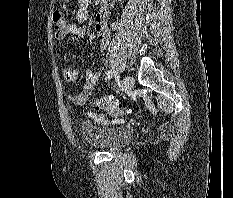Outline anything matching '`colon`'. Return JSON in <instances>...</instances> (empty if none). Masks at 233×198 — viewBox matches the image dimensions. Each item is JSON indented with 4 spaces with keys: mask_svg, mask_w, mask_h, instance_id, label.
<instances>
[{
    "mask_svg": "<svg viewBox=\"0 0 233 198\" xmlns=\"http://www.w3.org/2000/svg\"><path fill=\"white\" fill-rule=\"evenodd\" d=\"M53 23L56 33L63 30L66 25V20L62 13L59 11L53 13ZM93 107L97 111H104L112 115H121L123 113L121 104L107 96L96 99L93 103Z\"/></svg>",
    "mask_w": 233,
    "mask_h": 198,
    "instance_id": "5ec220e1",
    "label": "colon"
}]
</instances>
